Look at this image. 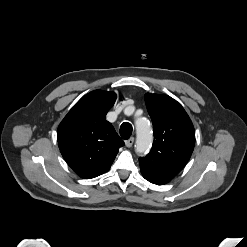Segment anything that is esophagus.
<instances>
[{
  "mask_svg": "<svg viewBox=\"0 0 247 247\" xmlns=\"http://www.w3.org/2000/svg\"><path fill=\"white\" fill-rule=\"evenodd\" d=\"M133 143H134V138L133 137H131L128 140L125 141V145L128 148L132 147Z\"/></svg>",
  "mask_w": 247,
  "mask_h": 247,
  "instance_id": "esophagus-1",
  "label": "esophagus"
}]
</instances>
